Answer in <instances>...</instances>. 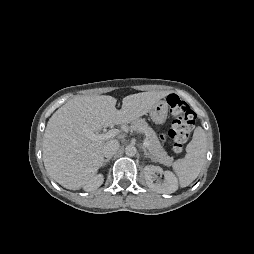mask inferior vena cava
I'll use <instances>...</instances> for the list:
<instances>
[{"label": "inferior vena cava", "instance_id": "602c4592", "mask_svg": "<svg viewBox=\"0 0 254 254\" xmlns=\"http://www.w3.org/2000/svg\"><path fill=\"white\" fill-rule=\"evenodd\" d=\"M119 149V142L117 140L107 141L103 148V155L106 158H111Z\"/></svg>", "mask_w": 254, "mask_h": 254}]
</instances>
